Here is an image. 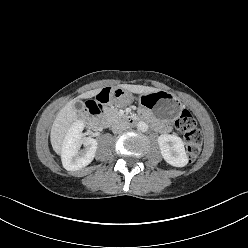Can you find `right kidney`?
Listing matches in <instances>:
<instances>
[{
  "label": "right kidney",
  "mask_w": 248,
  "mask_h": 248,
  "mask_svg": "<svg viewBox=\"0 0 248 248\" xmlns=\"http://www.w3.org/2000/svg\"><path fill=\"white\" fill-rule=\"evenodd\" d=\"M83 121H76L67 132L61 153L63 167L68 171H77L92 162L97 149V141L93 138H82ZM83 150H79L81 145Z\"/></svg>",
  "instance_id": "obj_1"
}]
</instances>
